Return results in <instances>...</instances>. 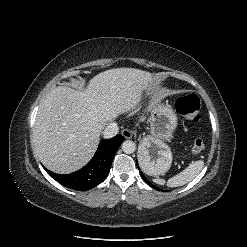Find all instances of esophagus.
Wrapping results in <instances>:
<instances>
[{
  "label": "esophagus",
  "instance_id": "34e87169",
  "mask_svg": "<svg viewBox=\"0 0 247 247\" xmlns=\"http://www.w3.org/2000/svg\"><path fill=\"white\" fill-rule=\"evenodd\" d=\"M121 134H122V136H123L124 138H126V139H130V138H132V136H133V132H132L131 130H129V129H123V130L121 131Z\"/></svg>",
  "mask_w": 247,
  "mask_h": 247
}]
</instances>
